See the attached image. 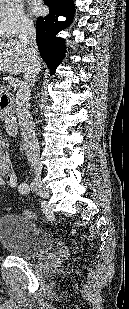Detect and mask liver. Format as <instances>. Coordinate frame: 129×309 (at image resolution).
I'll return each mask as SVG.
<instances>
[{"label": "liver", "mask_w": 129, "mask_h": 309, "mask_svg": "<svg viewBox=\"0 0 129 309\" xmlns=\"http://www.w3.org/2000/svg\"><path fill=\"white\" fill-rule=\"evenodd\" d=\"M30 67L31 61L27 55V48L20 41L0 40V72L20 75L25 74Z\"/></svg>", "instance_id": "1"}]
</instances>
